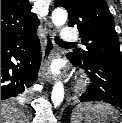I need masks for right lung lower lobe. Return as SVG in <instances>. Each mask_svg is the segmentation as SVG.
<instances>
[{"label":"right lung lower lobe","mask_w":122,"mask_h":123,"mask_svg":"<svg viewBox=\"0 0 122 123\" xmlns=\"http://www.w3.org/2000/svg\"><path fill=\"white\" fill-rule=\"evenodd\" d=\"M13 60L19 61L14 64ZM41 62L38 36L1 37V100L24 97L37 79Z\"/></svg>","instance_id":"obj_1"}]
</instances>
